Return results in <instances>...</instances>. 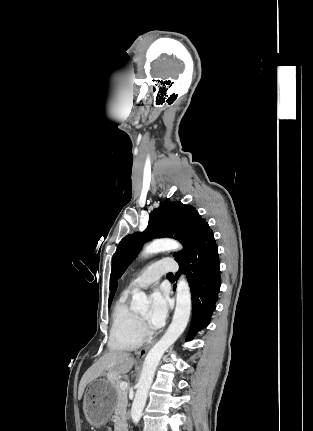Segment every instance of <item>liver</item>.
Instances as JSON below:
<instances>
[{
	"instance_id": "6515ba94",
	"label": "liver",
	"mask_w": 313,
	"mask_h": 431,
	"mask_svg": "<svg viewBox=\"0 0 313 431\" xmlns=\"http://www.w3.org/2000/svg\"><path fill=\"white\" fill-rule=\"evenodd\" d=\"M134 363V358L127 352L110 351L106 353L82 376L78 388V399L80 400L82 398L85 387L91 381L104 374H107L109 379L117 378L121 374L128 373L132 369Z\"/></svg>"
}]
</instances>
